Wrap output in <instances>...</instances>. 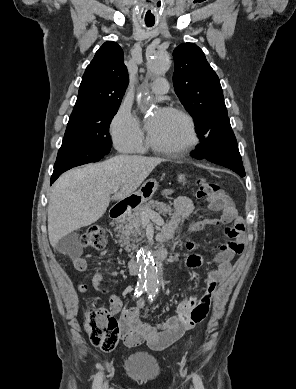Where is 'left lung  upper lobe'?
Segmentation results:
<instances>
[{
  "label": "left lung upper lobe",
  "instance_id": "left-lung-upper-lobe-1",
  "mask_svg": "<svg viewBox=\"0 0 296 389\" xmlns=\"http://www.w3.org/2000/svg\"><path fill=\"white\" fill-rule=\"evenodd\" d=\"M174 89L195 120L199 139L211 128L229 119L220 80L203 51L193 43H183L173 51Z\"/></svg>",
  "mask_w": 296,
  "mask_h": 389
}]
</instances>
